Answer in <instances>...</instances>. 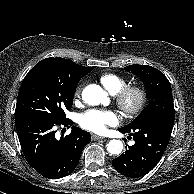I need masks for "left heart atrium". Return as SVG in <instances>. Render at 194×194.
<instances>
[{"label":"left heart atrium","mask_w":194,"mask_h":194,"mask_svg":"<svg viewBox=\"0 0 194 194\" xmlns=\"http://www.w3.org/2000/svg\"><path fill=\"white\" fill-rule=\"evenodd\" d=\"M79 123L86 130L103 133L108 126L119 123L117 114L110 110H88L80 116Z\"/></svg>","instance_id":"obj_1"}]
</instances>
